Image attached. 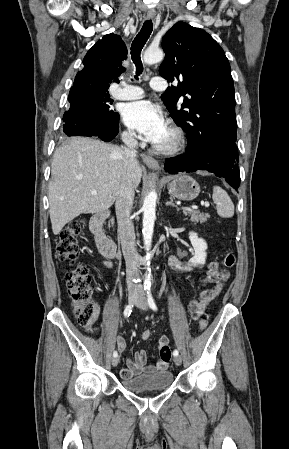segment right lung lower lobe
<instances>
[{"label":"right lung lower lobe","instance_id":"98d812e1","mask_svg":"<svg viewBox=\"0 0 289 449\" xmlns=\"http://www.w3.org/2000/svg\"><path fill=\"white\" fill-rule=\"evenodd\" d=\"M86 95L85 88L74 83L68 97L71 106L69 111L65 113L67 116L63 117L65 122L63 131L69 136H97L103 141L113 140L119 132V114L117 112L107 123L76 120L72 114L78 110Z\"/></svg>","mask_w":289,"mask_h":449}]
</instances>
